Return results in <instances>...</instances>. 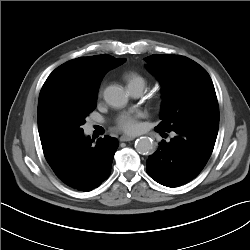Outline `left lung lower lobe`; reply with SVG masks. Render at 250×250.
<instances>
[{
  "label": "left lung lower lobe",
  "mask_w": 250,
  "mask_h": 250,
  "mask_svg": "<svg viewBox=\"0 0 250 250\" xmlns=\"http://www.w3.org/2000/svg\"><path fill=\"white\" fill-rule=\"evenodd\" d=\"M219 124L211 123L176 130L170 142L162 140L147 160V173L159 184L178 187L195 178L213 151ZM155 131L159 132L155 128Z\"/></svg>",
  "instance_id": "obj_1"
}]
</instances>
